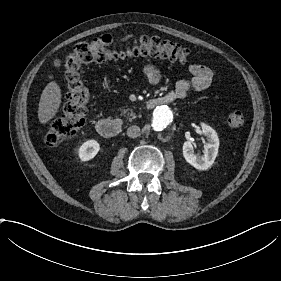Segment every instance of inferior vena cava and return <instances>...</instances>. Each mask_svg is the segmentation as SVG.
I'll use <instances>...</instances> for the list:
<instances>
[{
    "label": "inferior vena cava",
    "instance_id": "602c4592",
    "mask_svg": "<svg viewBox=\"0 0 281 281\" xmlns=\"http://www.w3.org/2000/svg\"><path fill=\"white\" fill-rule=\"evenodd\" d=\"M127 135L130 137V138H136L140 135V128L136 125H133V126H130L128 129H127Z\"/></svg>",
    "mask_w": 281,
    "mask_h": 281
}]
</instances>
